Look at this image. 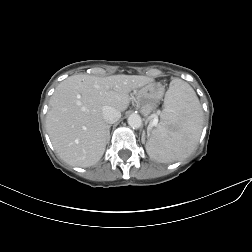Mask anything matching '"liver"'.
<instances>
[{
    "label": "liver",
    "instance_id": "6515ba94",
    "mask_svg": "<svg viewBox=\"0 0 252 252\" xmlns=\"http://www.w3.org/2000/svg\"><path fill=\"white\" fill-rule=\"evenodd\" d=\"M153 79L139 75L97 77L73 75L62 81L50 98L46 129L60 158L72 166L89 167L103 156L108 125L102 107L124 112L129 93Z\"/></svg>",
    "mask_w": 252,
    "mask_h": 252
}]
</instances>
